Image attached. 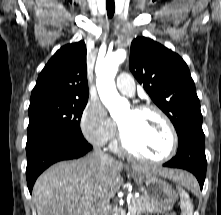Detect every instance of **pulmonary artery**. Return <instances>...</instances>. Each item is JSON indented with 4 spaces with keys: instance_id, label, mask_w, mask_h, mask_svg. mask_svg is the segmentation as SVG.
<instances>
[{
    "instance_id": "1",
    "label": "pulmonary artery",
    "mask_w": 221,
    "mask_h": 215,
    "mask_svg": "<svg viewBox=\"0 0 221 215\" xmlns=\"http://www.w3.org/2000/svg\"><path fill=\"white\" fill-rule=\"evenodd\" d=\"M116 86L122 94L132 96L135 93L133 78L128 73H121L116 80Z\"/></svg>"
}]
</instances>
